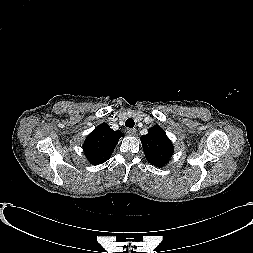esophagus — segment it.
Masks as SVG:
<instances>
[{"label":"esophagus","mask_w":253,"mask_h":253,"mask_svg":"<svg viewBox=\"0 0 253 253\" xmlns=\"http://www.w3.org/2000/svg\"><path fill=\"white\" fill-rule=\"evenodd\" d=\"M127 133L129 136H134L136 134V129H127Z\"/></svg>","instance_id":"34e87169"}]
</instances>
